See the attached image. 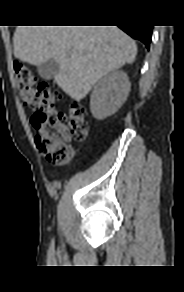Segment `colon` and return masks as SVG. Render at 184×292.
Masks as SVG:
<instances>
[{
  "label": "colon",
  "mask_w": 184,
  "mask_h": 292,
  "mask_svg": "<svg viewBox=\"0 0 184 292\" xmlns=\"http://www.w3.org/2000/svg\"><path fill=\"white\" fill-rule=\"evenodd\" d=\"M15 82L21 99L33 111L31 123L35 143L51 165H62L73 154L71 141H83L88 134L85 110L81 102L71 104L68 112H57L58 93L47 82H37L31 70L14 63Z\"/></svg>",
  "instance_id": "1"
}]
</instances>
